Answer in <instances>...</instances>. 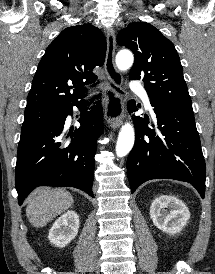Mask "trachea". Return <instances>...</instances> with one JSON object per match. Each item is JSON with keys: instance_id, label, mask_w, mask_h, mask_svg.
I'll use <instances>...</instances> for the list:
<instances>
[{"instance_id": "trachea-1", "label": "trachea", "mask_w": 215, "mask_h": 274, "mask_svg": "<svg viewBox=\"0 0 215 274\" xmlns=\"http://www.w3.org/2000/svg\"><path fill=\"white\" fill-rule=\"evenodd\" d=\"M113 86V85H112ZM117 91L121 92L118 88H116L115 86H113ZM122 93V92H121Z\"/></svg>"}]
</instances>
